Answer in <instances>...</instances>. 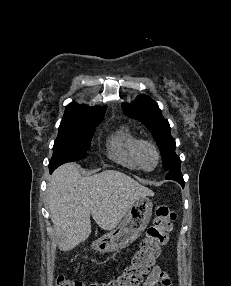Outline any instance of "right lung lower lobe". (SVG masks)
I'll return each instance as SVG.
<instances>
[{"label":"right lung lower lobe","instance_id":"98d812e1","mask_svg":"<svg viewBox=\"0 0 231 286\" xmlns=\"http://www.w3.org/2000/svg\"><path fill=\"white\" fill-rule=\"evenodd\" d=\"M55 167L54 166H49V171L52 173L54 171Z\"/></svg>","mask_w":231,"mask_h":286}]
</instances>
